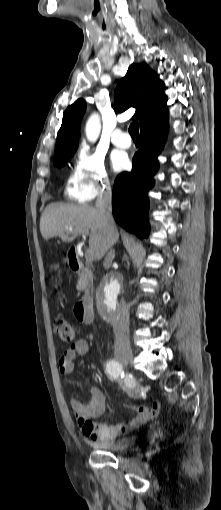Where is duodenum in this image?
<instances>
[{
    "label": "duodenum",
    "instance_id": "obj_1",
    "mask_svg": "<svg viewBox=\"0 0 221 510\" xmlns=\"http://www.w3.org/2000/svg\"><path fill=\"white\" fill-rule=\"evenodd\" d=\"M69 257L71 270L80 274L86 282L84 296L76 304L75 314L83 323L90 324L94 321V313L92 310L93 292L91 287L93 281V271L91 268L85 266L82 263L75 248H72L69 251Z\"/></svg>",
    "mask_w": 221,
    "mask_h": 510
}]
</instances>
